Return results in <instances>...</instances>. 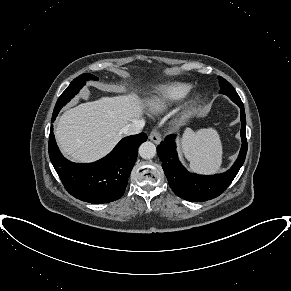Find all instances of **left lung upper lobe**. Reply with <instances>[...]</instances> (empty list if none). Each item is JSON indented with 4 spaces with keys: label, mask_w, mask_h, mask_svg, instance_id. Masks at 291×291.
<instances>
[{
    "label": "left lung upper lobe",
    "mask_w": 291,
    "mask_h": 291,
    "mask_svg": "<svg viewBox=\"0 0 291 291\" xmlns=\"http://www.w3.org/2000/svg\"><path fill=\"white\" fill-rule=\"evenodd\" d=\"M220 93L229 96L233 101L240 99L234 87L226 81L224 78L219 76Z\"/></svg>",
    "instance_id": "obj_1"
}]
</instances>
